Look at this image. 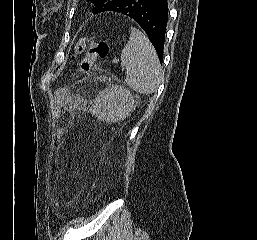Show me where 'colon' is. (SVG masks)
Masks as SVG:
<instances>
[{"label":"colon","instance_id":"5ec220e1","mask_svg":"<svg viewBox=\"0 0 257 240\" xmlns=\"http://www.w3.org/2000/svg\"><path fill=\"white\" fill-rule=\"evenodd\" d=\"M109 54V47L103 39H93L91 37H82L73 47V57L78 59V73L85 74L97 68V61L104 59ZM65 89H59L55 92L53 100V115L58 120L62 113L63 97Z\"/></svg>","mask_w":257,"mask_h":240}]
</instances>
